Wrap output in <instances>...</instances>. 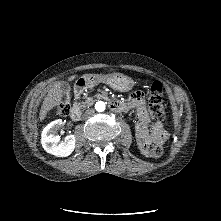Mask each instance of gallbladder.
<instances>
[{
	"label": "gallbladder",
	"mask_w": 221,
	"mask_h": 221,
	"mask_svg": "<svg viewBox=\"0 0 221 221\" xmlns=\"http://www.w3.org/2000/svg\"><path fill=\"white\" fill-rule=\"evenodd\" d=\"M61 90L64 94L69 95L71 92V87L67 82H61Z\"/></svg>",
	"instance_id": "gallbladder-1"
}]
</instances>
